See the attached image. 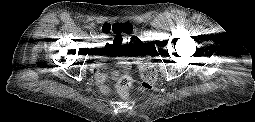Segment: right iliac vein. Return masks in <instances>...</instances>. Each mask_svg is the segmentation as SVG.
I'll list each match as a JSON object with an SVG mask.
<instances>
[{"label":"right iliac vein","mask_w":255,"mask_h":122,"mask_svg":"<svg viewBox=\"0 0 255 122\" xmlns=\"http://www.w3.org/2000/svg\"><path fill=\"white\" fill-rule=\"evenodd\" d=\"M98 38H99V37H98V36H96V35L93 37V39H94L95 41H97V40H98Z\"/></svg>","instance_id":"right-iliac-vein-1"}]
</instances>
